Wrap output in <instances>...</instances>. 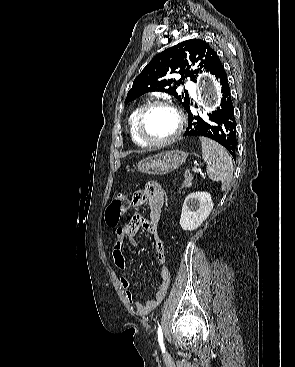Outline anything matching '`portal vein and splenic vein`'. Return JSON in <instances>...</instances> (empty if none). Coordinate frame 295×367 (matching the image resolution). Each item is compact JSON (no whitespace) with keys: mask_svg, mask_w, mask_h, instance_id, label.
<instances>
[{"mask_svg":"<svg viewBox=\"0 0 295 367\" xmlns=\"http://www.w3.org/2000/svg\"><path fill=\"white\" fill-rule=\"evenodd\" d=\"M192 170L194 173H199V169L197 167H194Z\"/></svg>","mask_w":295,"mask_h":367,"instance_id":"1","label":"portal vein and splenic vein"}]
</instances>
